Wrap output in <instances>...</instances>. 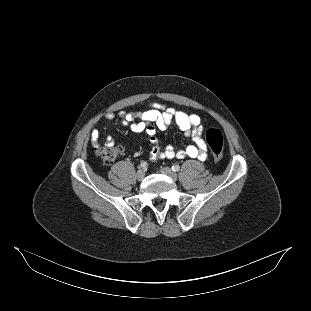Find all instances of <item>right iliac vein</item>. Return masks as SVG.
<instances>
[{"mask_svg":"<svg viewBox=\"0 0 311 311\" xmlns=\"http://www.w3.org/2000/svg\"><path fill=\"white\" fill-rule=\"evenodd\" d=\"M145 177V173L143 170H138L136 173V178L138 181H142Z\"/></svg>","mask_w":311,"mask_h":311,"instance_id":"63e3f726","label":"right iliac vein"}]
</instances>
